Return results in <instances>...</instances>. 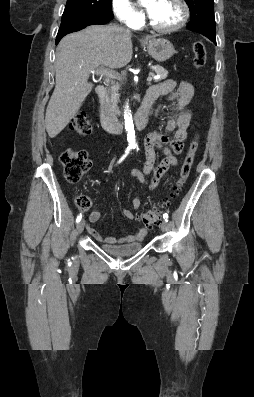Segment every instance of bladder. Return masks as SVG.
I'll return each instance as SVG.
<instances>
[{"label":"bladder","instance_id":"1","mask_svg":"<svg viewBox=\"0 0 254 397\" xmlns=\"http://www.w3.org/2000/svg\"><path fill=\"white\" fill-rule=\"evenodd\" d=\"M141 243H131L125 245H118V246H102V250L109 255L114 257H127L133 254H136L142 249Z\"/></svg>","mask_w":254,"mask_h":397}]
</instances>
